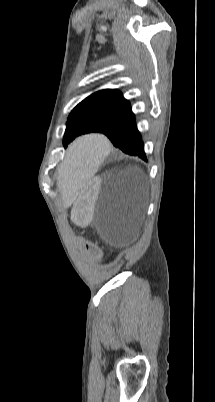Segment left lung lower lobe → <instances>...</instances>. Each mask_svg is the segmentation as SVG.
Here are the masks:
<instances>
[{"instance_id":"1","label":"left lung lower lobe","mask_w":215,"mask_h":402,"mask_svg":"<svg viewBox=\"0 0 215 402\" xmlns=\"http://www.w3.org/2000/svg\"><path fill=\"white\" fill-rule=\"evenodd\" d=\"M94 132L105 134L114 146L130 155L146 159L144 144L135 123V117L129 105L110 121L102 124Z\"/></svg>"}]
</instances>
